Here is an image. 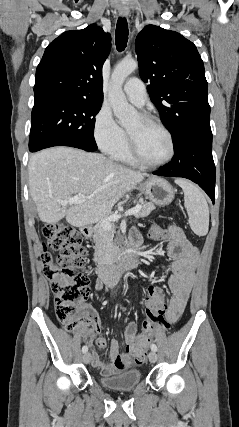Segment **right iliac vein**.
I'll return each instance as SVG.
<instances>
[{
  "instance_id": "63e3f726",
  "label": "right iliac vein",
  "mask_w": 239,
  "mask_h": 427,
  "mask_svg": "<svg viewBox=\"0 0 239 427\" xmlns=\"http://www.w3.org/2000/svg\"><path fill=\"white\" fill-rule=\"evenodd\" d=\"M91 361V354L90 353H85L83 355V362L88 364Z\"/></svg>"
}]
</instances>
